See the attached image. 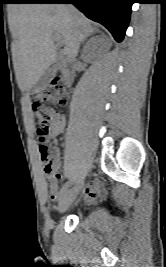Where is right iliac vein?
Here are the masks:
<instances>
[{
    "instance_id": "obj_1",
    "label": "right iliac vein",
    "mask_w": 166,
    "mask_h": 267,
    "mask_svg": "<svg viewBox=\"0 0 166 267\" xmlns=\"http://www.w3.org/2000/svg\"><path fill=\"white\" fill-rule=\"evenodd\" d=\"M83 182L79 181L75 186L70 189L66 195L61 199L59 206H58V211L60 213H63L67 210V208L73 203V201L77 198L81 187H82Z\"/></svg>"
}]
</instances>
